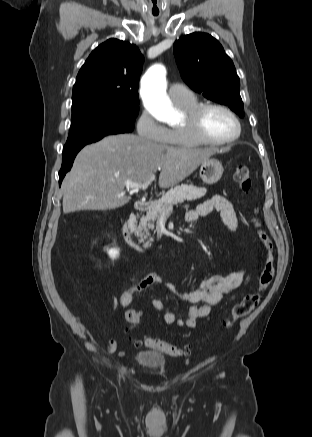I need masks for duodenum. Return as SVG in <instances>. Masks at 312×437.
I'll list each match as a JSON object with an SVG mask.
<instances>
[{
	"mask_svg": "<svg viewBox=\"0 0 312 437\" xmlns=\"http://www.w3.org/2000/svg\"><path fill=\"white\" fill-rule=\"evenodd\" d=\"M152 201L149 199H138L134 204L133 212L128 216L124 223L123 235L126 242L137 251L148 254L149 247L140 243L135 235L139 213L148 209Z\"/></svg>",
	"mask_w": 312,
	"mask_h": 437,
	"instance_id": "1",
	"label": "duodenum"
}]
</instances>
